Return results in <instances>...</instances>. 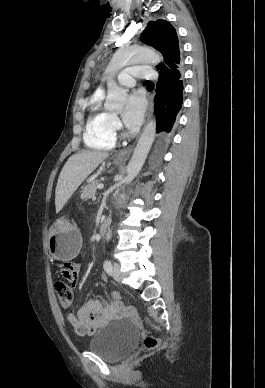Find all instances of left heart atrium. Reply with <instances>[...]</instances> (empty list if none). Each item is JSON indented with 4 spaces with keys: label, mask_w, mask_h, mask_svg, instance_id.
I'll return each instance as SVG.
<instances>
[{
    "label": "left heart atrium",
    "mask_w": 265,
    "mask_h": 388,
    "mask_svg": "<svg viewBox=\"0 0 265 388\" xmlns=\"http://www.w3.org/2000/svg\"><path fill=\"white\" fill-rule=\"evenodd\" d=\"M144 108V98L139 92L128 94L122 114L124 123L130 127H136L142 120Z\"/></svg>",
    "instance_id": "obj_1"
}]
</instances>
